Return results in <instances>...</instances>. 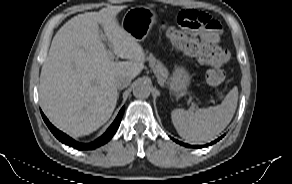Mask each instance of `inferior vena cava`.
<instances>
[{
  "label": "inferior vena cava",
  "instance_id": "602c4592",
  "mask_svg": "<svg viewBox=\"0 0 292 184\" xmlns=\"http://www.w3.org/2000/svg\"><path fill=\"white\" fill-rule=\"evenodd\" d=\"M131 80L132 79L127 76H121L116 80L115 85L118 89H123L131 83Z\"/></svg>",
  "mask_w": 292,
  "mask_h": 184
}]
</instances>
